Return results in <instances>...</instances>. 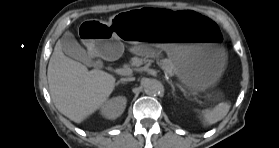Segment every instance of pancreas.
I'll list each match as a JSON object with an SVG mask.
<instances>
[{
	"label": "pancreas",
	"mask_w": 279,
	"mask_h": 148,
	"mask_svg": "<svg viewBox=\"0 0 279 148\" xmlns=\"http://www.w3.org/2000/svg\"><path fill=\"white\" fill-rule=\"evenodd\" d=\"M151 62H153V60L146 59V58H138V57L132 58V65H135V66H139L143 63H151ZM158 64L170 76H173L175 74L174 73V64L172 63V61L170 59L159 60Z\"/></svg>",
	"instance_id": "cf45deb5"
}]
</instances>
